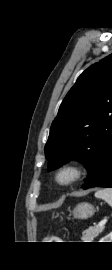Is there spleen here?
<instances>
[{"instance_id": "1", "label": "spleen", "mask_w": 112, "mask_h": 270, "mask_svg": "<svg viewBox=\"0 0 112 270\" xmlns=\"http://www.w3.org/2000/svg\"><path fill=\"white\" fill-rule=\"evenodd\" d=\"M95 197L103 199L112 207V188L100 189L95 193Z\"/></svg>"}]
</instances>
